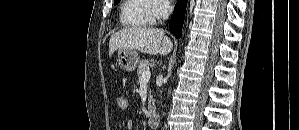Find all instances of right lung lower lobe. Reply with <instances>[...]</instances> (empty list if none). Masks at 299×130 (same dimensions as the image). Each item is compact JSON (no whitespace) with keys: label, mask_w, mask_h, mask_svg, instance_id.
<instances>
[{"label":"right lung lower lobe","mask_w":299,"mask_h":130,"mask_svg":"<svg viewBox=\"0 0 299 130\" xmlns=\"http://www.w3.org/2000/svg\"><path fill=\"white\" fill-rule=\"evenodd\" d=\"M186 4L187 0H178L174 8L173 16L169 23V28L176 38H180L182 34Z\"/></svg>","instance_id":"98d812e1"}]
</instances>
